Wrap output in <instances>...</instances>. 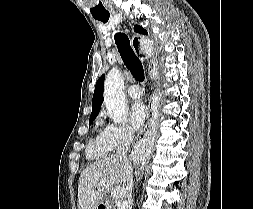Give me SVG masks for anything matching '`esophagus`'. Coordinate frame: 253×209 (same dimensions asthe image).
Masks as SVG:
<instances>
[{
    "label": "esophagus",
    "mask_w": 253,
    "mask_h": 209,
    "mask_svg": "<svg viewBox=\"0 0 253 209\" xmlns=\"http://www.w3.org/2000/svg\"><path fill=\"white\" fill-rule=\"evenodd\" d=\"M132 45L134 49H139L140 48V39L138 36H133L132 37ZM155 121V106L154 103L150 100L148 104V117H147V122L142 128L140 134L138 135V139H140L144 133L153 126ZM132 155V153H131Z\"/></svg>",
    "instance_id": "34e87169"
}]
</instances>
